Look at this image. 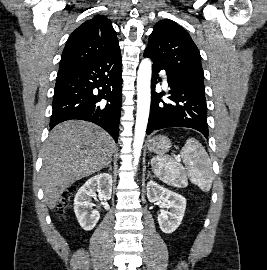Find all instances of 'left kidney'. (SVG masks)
<instances>
[{
  "instance_id": "1",
  "label": "left kidney",
  "mask_w": 267,
  "mask_h": 270,
  "mask_svg": "<svg viewBox=\"0 0 267 270\" xmlns=\"http://www.w3.org/2000/svg\"><path fill=\"white\" fill-rule=\"evenodd\" d=\"M147 197L149 202L163 201L167 210L158 215V223L162 232L166 234L173 233L181 224L185 209L186 199L155 181L147 183Z\"/></svg>"
}]
</instances>
